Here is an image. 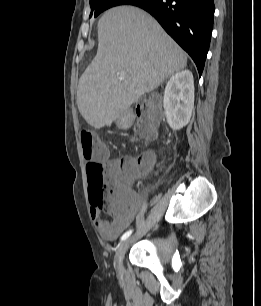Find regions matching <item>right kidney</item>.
Returning a JSON list of instances; mask_svg holds the SVG:
<instances>
[{
	"mask_svg": "<svg viewBox=\"0 0 261 306\" xmlns=\"http://www.w3.org/2000/svg\"><path fill=\"white\" fill-rule=\"evenodd\" d=\"M163 106L173 130H179L189 122L194 106V79L189 70L176 73L167 82Z\"/></svg>",
	"mask_w": 261,
	"mask_h": 306,
	"instance_id": "obj_1",
	"label": "right kidney"
}]
</instances>
